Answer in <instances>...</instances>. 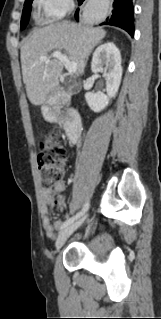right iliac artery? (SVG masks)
Here are the masks:
<instances>
[{"label":"right iliac artery","instance_id":"obj_1","mask_svg":"<svg viewBox=\"0 0 161 319\" xmlns=\"http://www.w3.org/2000/svg\"><path fill=\"white\" fill-rule=\"evenodd\" d=\"M89 207V203L87 202L84 206V208L78 213L76 214L75 216L67 219L61 226L60 230L66 228L68 225H70L71 223H73L75 220H77L78 218H80V216H82L88 209Z\"/></svg>","mask_w":161,"mask_h":319}]
</instances>
